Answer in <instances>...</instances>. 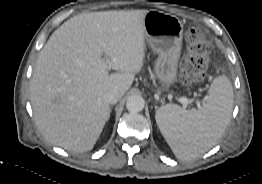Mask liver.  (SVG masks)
<instances>
[{"label":"liver","instance_id":"obj_1","mask_svg":"<svg viewBox=\"0 0 262 184\" xmlns=\"http://www.w3.org/2000/svg\"><path fill=\"white\" fill-rule=\"evenodd\" d=\"M147 13L80 14L53 32L30 83L34 118L46 140L73 153L93 149L110 117L106 93L117 90L122 97L143 67Z\"/></svg>","mask_w":262,"mask_h":184}]
</instances>
